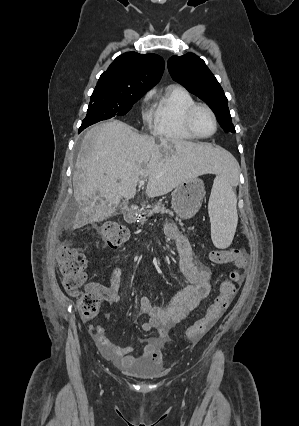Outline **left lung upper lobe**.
Returning a JSON list of instances; mask_svg holds the SVG:
<instances>
[{"label":"left lung upper lobe","mask_w":299,"mask_h":426,"mask_svg":"<svg viewBox=\"0 0 299 426\" xmlns=\"http://www.w3.org/2000/svg\"><path fill=\"white\" fill-rule=\"evenodd\" d=\"M167 66L175 81L211 107L225 132L235 133L223 89L202 59L193 53L172 56Z\"/></svg>","instance_id":"1"}]
</instances>
